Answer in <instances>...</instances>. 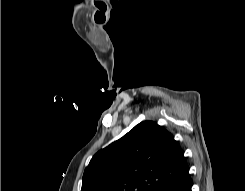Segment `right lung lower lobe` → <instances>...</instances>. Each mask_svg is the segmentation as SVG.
Wrapping results in <instances>:
<instances>
[{
  "label": "right lung lower lobe",
  "mask_w": 245,
  "mask_h": 191,
  "mask_svg": "<svg viewBox=\"0 0 245 191\" xmlns=\"http://www.w3.org/2000/svg\"><path fill=\"white\" fill-rule=\"evenodd\" d=\"M191 187L192 184L188 170L177 179L161 187L158 191H191Z\"/></svg>",
  "instance_id": "obj_1"
}]
</instances>
